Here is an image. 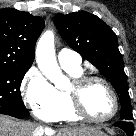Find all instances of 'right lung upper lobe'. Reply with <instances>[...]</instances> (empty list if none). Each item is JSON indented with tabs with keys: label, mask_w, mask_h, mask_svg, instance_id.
<instances>
[{
	"label": "right lung upper lobe",
	"mask_w": 136,
	"mask_h": 136,
	"mask_svg": "<svg viewBox=\"0 0 136 136\" xmlns=\"http://www.w3.org/2000/svg\"><path fill=\"white\" fill-rule=\"evenodd\" d=\"M43 26L41 17L13 8L0 9V67L29 69Z\"/></svg>",
	"instance_id": "obj_1"
}]
</instances>
